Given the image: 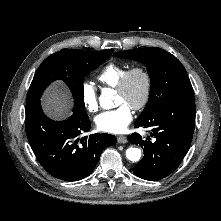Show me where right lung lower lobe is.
I'll return each mask as SVG.
<instances>
[{
  "label": "right lung lower lobe",
  "mask_w": 221,
  "mask_h": 221,
  "mask_svg": "<svg viewBox=\"0 0 221 221\" xmlns=\"http://www.w3.org/2000/svg\"><path fill=\"white\" fill-rule=\"evenodd\" d=\"M26 134L41 166L53 177L78 181L90 175L104 148L117 139L109 134H91L88 115L77 108L66 120L53 121L43 113L40 101L26 104Z\"/></svg>",
  "instance_id": "obj_1"
}]
</instances>
